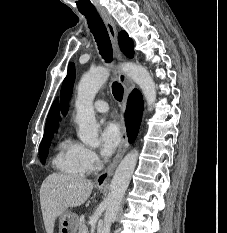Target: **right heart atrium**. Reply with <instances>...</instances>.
I'll return each instance as SVG.
<instances>
[{
  "label": "right heart atrium",
  "instance_id": "right-heart-atrium-1",
  "mask_svg": "<svg viewBox=\"0 0 227 233\" xmlns=\"http://www.w3.org/2000/svg\"><path fill=\"white\" fill-rule=\"evenodd\" d=\"M82 159L87 171H94L99 165V158L96 152L87 147H83Z\"/></svg>",
  "mask_w": 227,
  "mask_h": 233
}]
</instances>
